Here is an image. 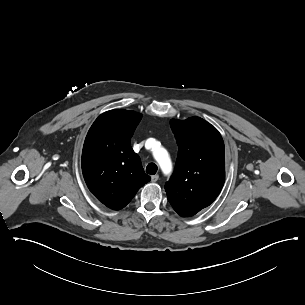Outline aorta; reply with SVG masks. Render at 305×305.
Here are the masks:
<instances>
[{
  "label": "aorta",
  "mask_w": 305,
  "mask_h": 305,
  "mask_svg": "<svg viewBox=\"0 0 305 305\" xmlns=\"http://www.w3.org/2000/svg\"><path fill=\"white\" fill-rule=\"evenodd\" d=\"M153 146H155V142H153ZM153 155L159 163L163 173L166 175L169 174L172 171V163L167 151L163 148H155Z\"/></svg>",
  "instance_id": "762f6f07"
}]
</instances>
